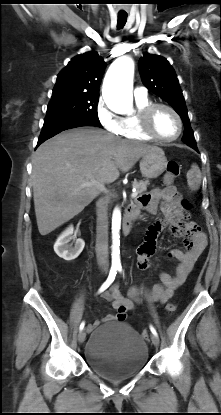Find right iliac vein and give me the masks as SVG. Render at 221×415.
I'll list each match as a JSON object with an SVG mask.
<instances>
[{
  "label": "right iliac vein",
  "instance_id": "1",
  "mask_svg": "<svg viewBox=\"0 0 221 415\" xmlns=\"http://www.w3.org/2000/svg\"><path fill=\"white\" fill-rule=\"evenodd\" d=\"M86 339V332L85 330H81L78 334V341L79 343H83Z\"/></svg>",
  "mask_w": 221,
  "mask_h": 415
}]
</instances>
